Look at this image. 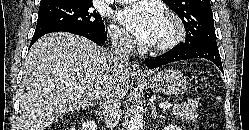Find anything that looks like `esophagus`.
<instances>
[{"label":"esophagus","instance_id":"1","mask_svg":"<svg viewBox=\"0 0 249 130\" xmlns=\"http://www.w3.org/2000/svg\"><path fill=\"white\" fill-rule=\"evenodd\" d=\"M132 73L136 76H139V77H144L145 76V73L144 71L142 70L141 66L139 65L138 62H135L133 65H132Z\"/></svg>","mask_w":249,"mask_h":130}]
</instances>
